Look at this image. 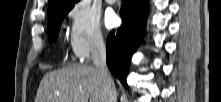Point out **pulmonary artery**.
Returning <instances> with one entry per match:
<instances>
[{"label":"pulmonary artery","mask_w":221,"mask_h":102,"mask_svg":"<svg viewBox=\"0 0 221 102\" xmlns=\"http://www.w3.org/2000/svg\"><path fill=\"white\" fill-rule=\"evenodd\" d=\"M106 2L109 3V4H113V3L116 2V0H106Z\"/></svg>","instance_id":"obj_1"}]
</instances>
